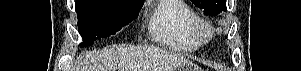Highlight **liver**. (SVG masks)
<instances>
[{
    "instance_id": "obj_1",
    "label": "liver",
    "mask_w": 301,
    "mask_h": 71,
    "mask_svg": "<svg viewBox=\"0 0 301 71\" xmlns=\"http://www.w3.org/2000/svg\"><path fill=\"white\" fill-rule=\"evenodd\" d=\"M76 71H175L189 63L183 56L155 47L113 45L79 56Z\"/></svg>"
}]
</instances>
